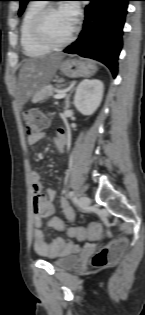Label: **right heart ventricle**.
Segmentation results:
<instances>
[{
	"label": "right heart ventricle",
	"instance_id": "1",
	"mask_svg": "<svg viewBox=\"0 0 145 315\" xmlns=\"http://www.w3.org/2000/svg\"><path fill=\"white\" fill-rule=\"evenodd\" d=\"M44 7V3L30 4L22 17L20 25V43L24 53L30 57L42 56L49 52V49L38 44L31 34V23L35 15Z\"/></svg>",
	"mask_w": 145,
	"mask_h": 315
}]
</instances>
